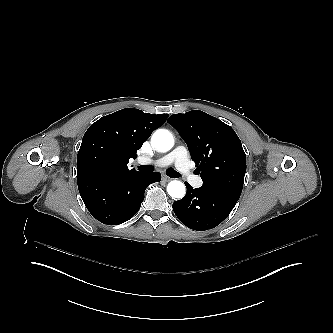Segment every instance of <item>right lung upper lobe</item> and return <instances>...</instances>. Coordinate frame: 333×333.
I'll use <instances>...</instances> for the list:
<instances>
[{"label":"right lung upper lobe","mask_w":333,"mask_h":333,"mask_svg":"<svg viewBox=\"0 0 333 333\" xmlns=\"http://www.w3.org/2000/svg\"><path fill=\"white\" fill-rule=\"evenodd\" d=\"M168 116L127 108L100 118L83 136L77 155V176L134 171L127 167L129 159L137 157L136 151Z\"/></svg>","instance_id":"obj_1"}]
</instances>
